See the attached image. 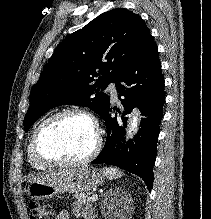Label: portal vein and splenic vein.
<instances>
[{"label": "portal vein and splenic vein", "mask_w": 211, "mask_h": 219, "mask_svg": "<svg viewBox=\"0 0 211 219\" xmlns=\"http://www.w3.org/2000/svg\"><path fill=\"white\" fill-rule=\"evenodd\" d=\"M91 198L95 201L98 198V195L94 193Z\"/></svg>", "instance_id": "portal-vein-and-splenic-vein-1"}]
</instances>
